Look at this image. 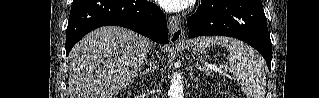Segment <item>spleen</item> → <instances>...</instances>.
Wrapping results in <instances>:
<instances>
[{"mask_svg": "<svg viewBox=\"0 0 319 98\" xmlns=\"http://www.w3.org/2000/svg\"><path fill=\"white\" fill-rule=\"evenodd\" d=\"M213 45H222L228 49L230 71L240 81L247 98H264L266 74L259 55L243 42L221 36L201 39L194 50L202 52Z\"/></svg>", "mask_w": 319, "mask_h": 98, "instance_id": "1", "label": "spleen"}]
</instances>
